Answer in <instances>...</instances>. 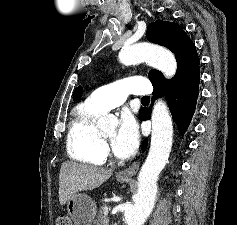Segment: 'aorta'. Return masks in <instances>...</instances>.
Here are the masks:
<instances>
[{"instance_id": "obj_1", "label": "aorta", "mask_w": 237, "mask_h": 225, "mask_svg": "<svg viewBox=\"0 0 237 225\" xmlns=\"http://www.w3.org/2000/svg\"><path fill=\"white\" fill-rule=\"evenodd\" d=\"M119 59L124 65L146 62L168 78L173 77L177 69L175 57L170 51L148 43L122 48ZM117 124V118L111 114L102 116L97 121V126L101 129L115 127ZM172 141V118L166 103L159 100L152 112L151 145L138 175V192L134 197V204L124 211L126 225H142L151 213L157 194L158 176L168 161Z\"/></svg>"}]
</instances>
